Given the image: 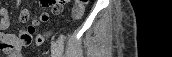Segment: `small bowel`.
<instances>
[{
	"instance_id": "c3829d8e",
	"label": "small bowel",
	"mask_w": 172,
	"mask_h": 57,
	"mask_svg": "<svg viewBox=\"0 0 172 57\" xmlns=\"http://www.w3.org/2000/svg\"><path fill=\"white\" fill-rule=\"evenodd\" d=\"M66 0H41L40 6L42 8H49L50 11H43L38 18L32 19L30 24L14 32L11 30V21L8 15V11L4 7H0V51L7 54L10 57H15L20 54L21 50L30 45L34 44L39 46L43 43L46 36L42 34H36L37 26L42 22H47L50 17V12L58 14L62 11ZM18 8L21 5V1L15 3ZM30 13L27 9L20 12L19 19L22 22L29 20Z\"/></svg>"
}]
</instances>
